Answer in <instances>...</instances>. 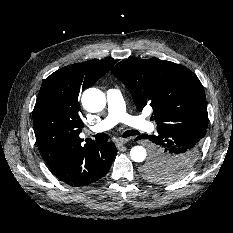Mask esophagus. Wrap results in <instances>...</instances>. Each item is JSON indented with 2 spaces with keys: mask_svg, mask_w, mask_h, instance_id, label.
Returning <instances> with one entry per match:
<instances>
[{
  "mask_svg": "<svg viewBox=\"0 0 233 233\" xmlns=\"http://www.w3.org/2000/svg\"><path fill=\"white\" fill-rule=\"evenodd\" d=\"M129 140L125 139V138H119L116 140V146L119 148L121 146H123L124 144H126Z\"/></svg>",
  "mask_w": 233,
  "mask_h": 233,
  "instance_id": "34e87169",
  "label": "esophagus"
}]
</instances>
